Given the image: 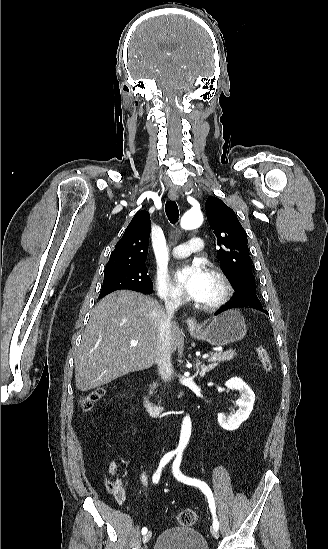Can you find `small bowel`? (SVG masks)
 Wrapping results in <instances>:
<instances>
[{
  "instance_id": "1",
  "label": "small bowel",
  "mask_w": 328,
  "mask_h": 549,
  "mask_svg": "<svg viewBox=\"0 0 328 549\" xmlns=\"http://www.w3.org/2000/svg\"><path fill=\"white\" fill-rule=\"evenodd\" d=\"M118 472H119L118 463L114 460H111L108 464V473L111 476H117ZM147 482H148L147 471H143L140 476V483L144 493L146 492ZM125 484L126 482L123 478H117L116 481L114 482L106 481V487L108 491L113 495L115 501L120 505L125 504L127 501Z\"/></svg>"
}]
</instances>
